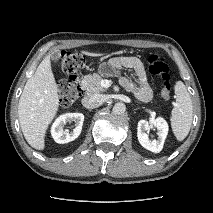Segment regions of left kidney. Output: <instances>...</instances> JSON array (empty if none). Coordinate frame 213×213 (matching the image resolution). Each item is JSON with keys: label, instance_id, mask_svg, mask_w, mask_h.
I'll list each match as a JSON object with an SVG mask.
<instances>
[{"label": "left kidney", "instance_id": "1", "mask_svg": "<svg viewBox=\"0 0 213 213\" xmlns=\"http://www.w3.org/2000/svg\"><path fill=\"white\" fill-rule=\"evenodd\" d=\"M150 125H153L157 128L158 135V138L152 141L149 139L148 134L146 133V131L150 128ZM168 130V124L162 117H158L149 122L146 120H140L138 122L137 127V137L139 143L145 149L154 153H159L163 148V144L168 134Z\"/></svg>", "mask_w": 213, "mask_h": 213}]
</instances>
